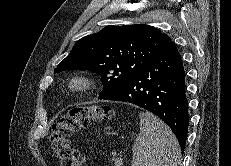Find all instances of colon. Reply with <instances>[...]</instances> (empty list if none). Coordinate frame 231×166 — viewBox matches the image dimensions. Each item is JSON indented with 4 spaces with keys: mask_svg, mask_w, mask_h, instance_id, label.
<instances>
[{
    "mask_svg": "<svg viewBox=\"0 0 231 166\" xmlns=\"http://www.w3.org/2000/svg\"><path fill=\"white\" fill-rule=\"evenodd\" d=\"M113 116L111 107L91 105L74 107L60 117L52 129V151L62 166H82L85 159L74 149L70 137L91 122L107 121Z\"/></svg>",
    "mask_w": 231,
    "mask_h": 166,
    "instance_id": "1",
    "label": "colon"
}]
</instances>
